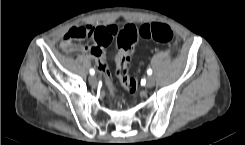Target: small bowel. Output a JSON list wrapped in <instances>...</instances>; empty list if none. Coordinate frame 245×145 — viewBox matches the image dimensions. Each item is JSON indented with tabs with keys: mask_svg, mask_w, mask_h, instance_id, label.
<instances>
[{
	"mask_svg": "<svg viewBox=\"0 0 245 145\" xmlns=\"http://www.w3.org/2000/svg\"><path fill=\"white\" fill-rule=\"evenodd\" d=\"M92 27L96 31V38L92 40L91 46H84L86 52H88L91 57H93L97 65L105 64V46L110 42L112 36L108 31L110 26H116L115 24H104V25H87ZM82 46L79 44H72L71 42L61 44V49L68 53H74V46ZM76 53V52H75Z\"/></svg>",
	"mask_w": 245,
	"mask_h": 145,
	"instance_id": "small-bowel-1",
	"label": "small bowel"
}]
</instances>
